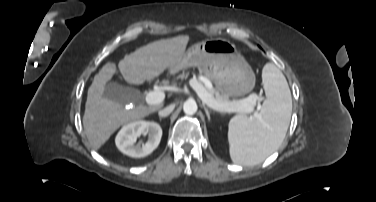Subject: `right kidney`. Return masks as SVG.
Segmentation results:
<instances>
[{
  "instance_id": "right-kidney-1",
  "label": "right kidney",
  "mask_w": 376,
  "mask_h": 202,
  "mask_svg": "<svg viewBox=\"0 0 376 202\" xmlns=\"http://www.w3.org/2000/svg\"><path fill=\"white\" fill-rule=\"evenodd\" d=\"M147 135L148 140L143 145H136V139ZM162 137V128L155 122L138 120L121 128L116 136V146L130 157L141 158L152 153L159 145Z\"/></svg>"
}]
</instances>
